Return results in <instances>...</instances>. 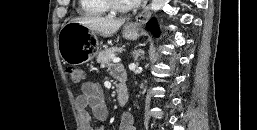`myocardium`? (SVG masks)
<instances>
[{
  "label": "myocardium",
  "mask_w": 257,
  "mask_h": 130,
  "mask_svg": "<svg viewBox=\"0 0 257 130\" xmlns=\"http://www.w3.org/2000/svg\"><path fill=\"white\" fill-rule=\"evenodd\" d=\"M104 5L111 11H115V12H129L132 11L134 9H136L139 5V3L134 2L130 5H123L121 3H119L118 0H102Z\"/></svg>",
  "instance_id": "f54148a6"
}]
</instances>
